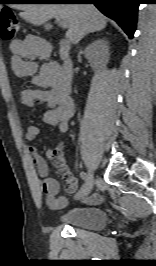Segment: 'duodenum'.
<instances>
[{
    "label": "duodenum",
    "instance_id": "obj_1",
    "mask_svg": "<svg viewBox=\"0 0 156 266\" xmlns=\"http://www.w3.org/2000/svg\"><path fill=\"white\" fill-rule=\"evenodd\" d=\"M59 53L62 57V64L59 67V78L62 84L70 89L72 76H73V63L70 58V43L66 39H61L59 42ZM42 52L49 54L50 46L43 44L41 46Z\"/></svg>",
    "mask_w": 156,
    "mask_h": 266
}]
</instances>
